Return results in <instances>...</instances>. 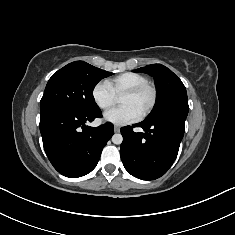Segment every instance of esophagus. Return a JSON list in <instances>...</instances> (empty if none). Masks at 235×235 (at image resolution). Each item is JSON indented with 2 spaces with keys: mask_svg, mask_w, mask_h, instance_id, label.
Wrapping results in <instances>:
<instances>
[{
  "mask_svg": "<svg viewBox=\"0 0 235 235\" xmlns=\"http://www.w3.org/2000/svg\"><path fill=\"white\" fill-rule=\"evenodd\" d=\"M114 132H115V133L120 132V127L117 126V125H115V126H114Z\"/></svg>",
  "mask_w": 235,
  "mask_h": 235,
  "instance_id": "esophagus-1",
  "label": "esophagus"
}]
</instances>
